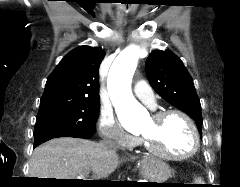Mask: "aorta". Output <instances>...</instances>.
I'll use <instances>...</instances> for the list:
<instances>
[{
  "label": "aorta",
  "instance_id": "obj_1",
  "mask_svg": "<svg viewBox=\"0 0 240 187\" xmlns=\"http://www.w3.org/2000/svg\"><path fill=\"white\" fill-rule=\"evenodd\" d=\"M139 49L130 46L122 51L110 67L107 88L118 116L129 115L138 121L146 116L145 109L137 102L131 91V82L137 67Z\"/></svg>",
  "mask_w": 240,
  "mask_h": 187
}]
</instances>
